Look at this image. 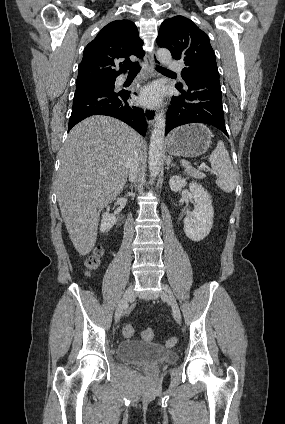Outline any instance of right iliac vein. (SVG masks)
I'll use <instances>...</instances> for the list:
<instances>
[{
	"label": "right iliac vein",
	"instance_id": "obj_1",
	"mask_svg": "<svg viewBox=\"0 0 285 424\" xmlns=\"http://www.w3.org/2000/svg\"><path fill=\"white\" fill-rule=\"evenodd\" d=\"M134 298V287L130 286L124 293L121 301L119 302L117 309L115 311V321L118 322L120 320L121 315L124 311H126L128 302L133 300Z\"/></svg>",
	"mask_w": 285,
	"mask_h": 424
}]
</instances>
